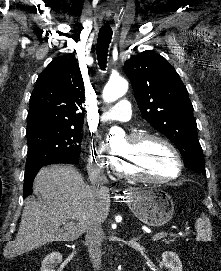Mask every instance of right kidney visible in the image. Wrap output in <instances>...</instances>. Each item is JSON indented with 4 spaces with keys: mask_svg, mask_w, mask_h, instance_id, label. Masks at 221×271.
Wrapping results in <instances>:
<instances>
[{
    "mask_svg": "<svg viewBox=\"0 0 221 271\" xmlns=\"http://www.w3.org/2000/svg\"><path fill=\"white\" fill-rule=\"evenodd\" d=\"M61 261V253H59V251H51V253H48V255L44 257L41 263L40 271H58V269H56V265L61 263Z\"/></svg>",
    "mask_w": 221,
    "mask_h": 271,
    "instance_id": "1",
    "label": "right kidney"
}]
</instances>
